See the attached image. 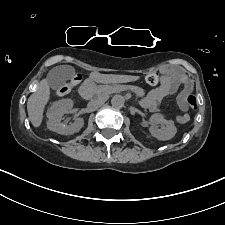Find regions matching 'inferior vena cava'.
I'll list each match as a JSON object with an SVG mask.
<instances>
[{
	"label": "inferior vena cava",
	"instance_id": "1",
	"mask_svg": "<svg viewBox=\"0 0 225 225\" xmlns=\"http://www.w3.org/2000/svg\"><path fill=\"white\" fill-rule=\"evenodd\" d=\"M102 100H103V97H97V98L93 99L89 104L96 105V104L100 103Z\"/></svg>",
	"mask_w": 225,
	"mask_h": 225
}]
</instances>
